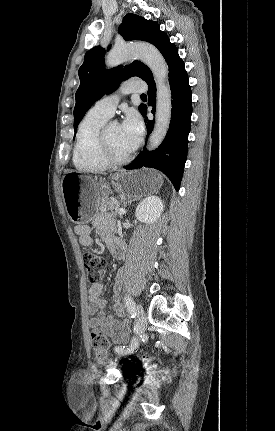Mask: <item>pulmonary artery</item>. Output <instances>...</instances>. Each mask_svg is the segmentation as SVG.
I'll list each match as a JSON object with an SVG mask.
<instances>
[{"label":"pulmonary artery","mask_w":275,"mask_h":431,"mask_svg":"<svg viewBox=\"0 0 275 431\" xmlns=\"http://www.w3.org/2000/svg\"><path fill=\"white\" fill-rule=\"evenodd\" d=\"M147 89V86L144 82L139 80H129L124 82L120 89L108 96L103 97L99 101H97L94 105V109L111 117L115 109L119 103L120 97L124 94L128 93H143Z\"/></svg>","instance_id":"1"}]
</instances>
